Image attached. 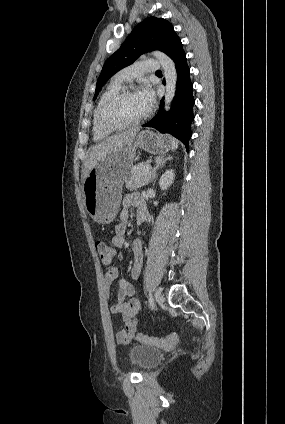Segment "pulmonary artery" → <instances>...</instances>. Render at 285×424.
I'll return each mask as SVG.
<instances>
[{
  "label": "pulmonary artery",
  "instance_id": "pulmonary-artery-1",
  "mask_svg": "<svg viewBox=\"0 0 285 424\" xmlns=\"http://www.w3.org/2000/svg\"><path fill=\"white\" fill-rule=\"evenodd\" d=\"M160 67V62L157 60H140L133 65L119 71L114 76V80L119 83L128 82L133 78L142 76L144 73H154L158 71Z\"/></svg>",
  "mask_w": 285,
  "mask_h": 424
}]
</instances>
